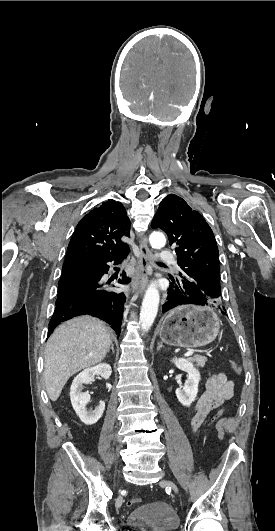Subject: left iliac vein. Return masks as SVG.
Listing matches in <instances>:
<instances>
[{"label": "left iliac vein", "mask_w": 275, "mask_h": 531, "mask_svg": "<svg viewBox=\"0 0 275 531\" xmlns=\"http://www.w3.org/2000/svg\"><path fill=\"white\" fill-rule=\"evenodd\" d=\"M161 483L166 484L167 486H170L174 490V492L176 493L178 492L177 485L173 481L163 479Z\"/></svg>", "instance_id": "4c4485c4"}]
</instances>
